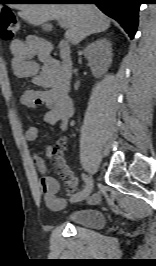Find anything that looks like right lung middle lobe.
Masks as SVG:
<instances>
[{
    "label": "right lung middle lobe",
    "instance_id": "right-lung-middle-lobe-1",
    "mask_svg": "<svg viewBox=\"0 0 156 266\" xmlns=\"http://www.w3.org/2000/svg\"><path fill=\"white\" fill-rule=\"evenodd\" d=\"M5 0H1L0 2L2 3V2H4ZM23 1H26V0H23Z\"/></svg>",
    "mask_w": 156,
    "mask_h": 266
}]
</instances>
